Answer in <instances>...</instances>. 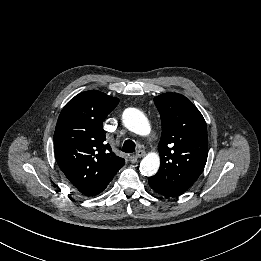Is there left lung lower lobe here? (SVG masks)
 <instances>
[{
	"instance_id": "left-lung-lower-lobe-1",
	"label": "left lung lower lobe",
	"mask_w": 261,
	"mask_h": 261,
	"mask_svg": "<svg viewBox=\"0 0 261 261\" xmlns=\"http://www.w3.org/2000/svg\"><path fill=\"white\" fill-rule=\"evenodd\" d=\"M148 183L150 187L158 194L165 196V197H174L172 194L165 191L159 184H157L155 181L148 178Z\"/></svg>"
}]
</instances>
